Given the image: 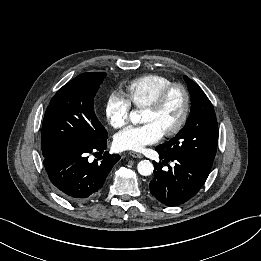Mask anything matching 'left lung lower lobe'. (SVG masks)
Returning a JSON list of instances; mask_svg holds the SVG:
<instances>
[{
  "label": "left lung lower lobe",
  "mask_w": 261,
  "mask_h": 261,
  "mask_svg": "<svg viewBox=\"0 0 261 261\" xmlns=\"http://www.w3.org/2000/svg\"><path fill=\"white\" fill-rule=\"evenodd\" d=\"M165 164L174 161V168L162 169V164L154 162V178L149 184L150 193L166 206H177L191 199L205 183L210 170L194 165L182 156H166L156 149Z\"/></svg>",
  "instance_id": "obj_1"
}]
</instances>
